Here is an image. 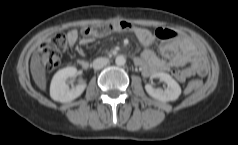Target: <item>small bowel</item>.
<instances>
[{
    "instance_id": "small-bowel-1",
    "label": "small bowel",
    "mask_w": 238,
    "mask_h": 145,
    "mask_svg": "<svg viewBox=\"0 0 238 145\" xmlns=\"http://www.w3.org/2000/svg\"><path fill=\"white\" fill-rule=\"evenodd\" d=\"M132 33L136 36L139 42L145 47L143 53L134 59V62L142 70L145 76L156 73L170 71L172 67L186 66L185 68L174 71L178 81L184 82L192 75L203 76L207 72L206 64L200 53L188 42H174L166 40L161 45V50L164 53H175V55L167 60L160 58L151 48L154 39L162 40L173 36V33L162 27H155L152 33L142 27H134ZM68 39L71 44L77 42V34L71 31L68 34Z\"/></svg>"
}]
</instances>
